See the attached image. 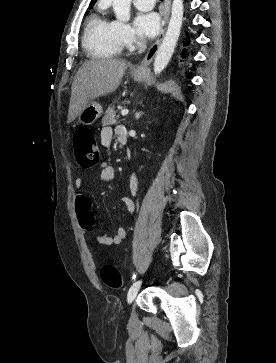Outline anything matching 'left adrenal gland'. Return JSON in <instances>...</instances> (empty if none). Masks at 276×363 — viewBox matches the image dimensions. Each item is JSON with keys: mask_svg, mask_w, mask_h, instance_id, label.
I'll use <instances>...</instances> for the list:
<instances>
[{"mask_svg": "<svg viewBox=\"0 0 276 363\" xmlns=\"http://www.w3.org/2000/svg\"><path fill=\"white\" fill-rule=\"evenodd\" d=\"M141 115L142 114L140 112H136L135 113L136 120L140 119Z\"/></svg>", "mask_w": 276, "mask_h": 363, "instance_id": "obj_1", "label": "left adrenal gland"}]
</instances>
